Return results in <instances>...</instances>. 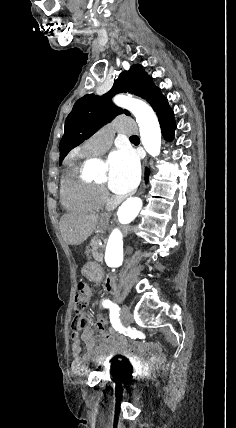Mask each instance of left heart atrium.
<instances>
[{
	"instance_id": "39dd6f15",
	"label": "left heart atrium",
	"mask_w": 236,
	"mask_h": 428,
	"mask_svg": "<svg viewBox=\"0 0 236 428\" xmlns=\"http://www.w3.org/2000/svg\"><path fill=\"white\" fill-rule=\"evenodd\" d=\"M110 189L116 194H128L140 179V165L129 149H117L108 159Z\"/></svg>"
}]
</instances>
